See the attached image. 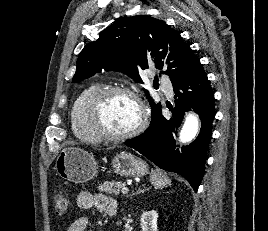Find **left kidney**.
<instances>
[{
  "label": "left kidney",
  "instance_id": "left-kidney-1",
  "mask_svg": "<svg viewBox=\"0 0 268 231\" xmlns=\"http://www.w3.org/2000/svg\"><path fill=\"white\" fill-rule=\"evenodd\" d=\"M157 221V211L151 210L143 213L140 219L142 231H158Z\"/></svg>",
  "mask_w": 268,
  "mask_h": 231
}]
</instances>
